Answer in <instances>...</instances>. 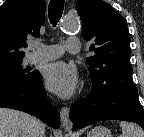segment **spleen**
I'll list each match as a JSON object with an SVG mask.
<instances>
[{
  "mask_svg": "<svg viewBox=\"0 0 144 137\" xmlns=\"http://www.w3.org/2000/svg\"><path fill=\"white\" fill-rule=\"evenodd\" d=\"M120 127L122 128L120 137H144V131L135 123L122 121Z\"/></svg>",
  "mask_w": 144,
  "mask_h": 137,
  "instance_id": "spleen-1",
  "label": "spleen"
}]
</instances>
